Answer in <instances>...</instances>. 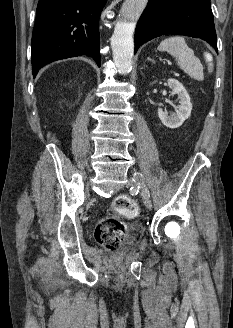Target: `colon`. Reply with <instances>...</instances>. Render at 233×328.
Returning a JSON list of instances; mask_svg holds the SVG:
<instances>
[{
	"mask_svg": "<svg viewBox=\"0 0 233 328\" xmlns=\"http://www.w3.org/2000/svg\"><path fill=\"white\" fill-rule=\"evenodd\" d=\"M139 212L135 200L126 195L118 196L110 208L109 216L95 229L96 240L110 251H118L127 237V229L119 218H133Z\"/></svg>",
	"mask_w": 233,
	"mask_h": 328,
	"instance_id": "colon-1",
	"label": "colon"
}]
</instances>
